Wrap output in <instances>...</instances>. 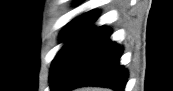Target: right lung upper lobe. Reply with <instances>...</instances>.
<instances>
[{
	"instance_id": "right-lung-upper-lobe-1",
	"label": "right lung upper lobe",
	"mask_w": 173,
	"mask_h": 91,
	"mask_svg": "<svg viewBox=\"0 0 173 91\" xmlns=\"http://www.w3.org/2000/svg\"><path fill=\"white\" fill-rule=\"evenodd\" d=\"M98 14H99V12L94 11V10L86 12V13L78 16L77 18L73 19L70 22V24L86 25L87 23H89L90 21L95 19L98 16Z\"/></svg>"
}]
</instances>
